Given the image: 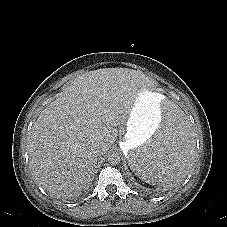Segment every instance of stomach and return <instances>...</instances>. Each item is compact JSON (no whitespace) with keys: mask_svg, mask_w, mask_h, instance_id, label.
Listing matches in <instances>:
<instances>
[{"mask_svg":"<svg viewBox=\"0 0 227 227\" xmlns=\"http://www.w3.org/2000/svg\"><path fill=\"white\" fill-rule=\"evenodd\" d=\"M163 99L161 94L146 86L138 92L125 125L122 148L126 157L131 149L138 147L156 132L155 124L161 118L160 111L165 103Z\"/></svg>","mask_w":227,"mask_h":227,"instance_id":"0dacf381","label":"stomach"}]
</instances>
